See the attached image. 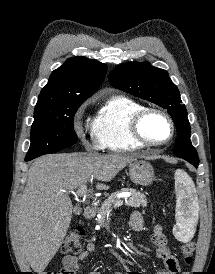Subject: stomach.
I'll return each instance as SVG.
<instances>
[{"instance_id": "stomach-1", "label": "stomach", "mask_w": 215, "mask_h": 274, "mask_svg": "<svg viewBox=\"0 0 215 274\" xmlns=\"http://www.w3.org/2000/svg\"><path fill=\"white\" fill-rule=\"evenodd\" d=\"M129 176L133 183L148 186L154 180L153 167L147 161L135 160L129 165Z\"/></svg>"}]
</instances>
